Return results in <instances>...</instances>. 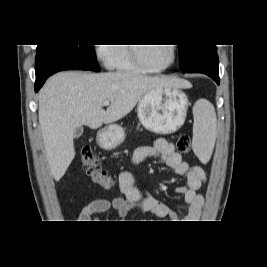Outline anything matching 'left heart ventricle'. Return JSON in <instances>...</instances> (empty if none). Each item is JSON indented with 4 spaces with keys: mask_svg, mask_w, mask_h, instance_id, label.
Masks as SVG:
<instances>
[{
    "mask_svg": "<svg viewBox=\"0 0 267 267\" xmlns=\"http://www.w3.org/2000/svg\"><path fill=\"white\" fill-rule=\"evenodd\" d=\"M142 60L150 67H162L168 64L172 58L170 44L139 46Z\"/></svg>",
    "mask_w": 267,
    "mask_h": 267,
    "instance_id": "obj_1",
    "label": "left heart ventricle"
}]
</instances>
